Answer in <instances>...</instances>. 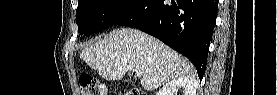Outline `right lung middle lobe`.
I'll list each match as a JSON object with an SVG mask.
<instances>
[{
    "instance_id": "obj_1",
    "label": "right lung middle lobe",
    "mask_w": 277,
    "mask_h": 95,
    "mask_svg": "<svg viewBox=\"0 0 277 95\" xmlns=\"http://www.w3.org/2000/svg\"><path fill=\"white\" fill-rule=\"evenodd\" d=\"M142 0H80L76 11L78 31L91 35L116 24Z\"/></svg>"
}]
</instances>
